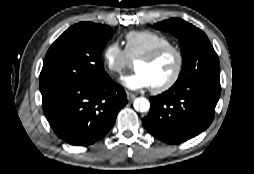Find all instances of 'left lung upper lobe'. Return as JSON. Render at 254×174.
<instances>
[{
    "instance_id": "left-lung-upper-lobe-1",
    "label": "left lung upper lobe",
    "mask_w": 254,
    "mask_h": 174,
    "mask_svg": "<svg viewBox=\"0 0 254 174\" xmlns=\"http://www.w3.org/2000/svg\"><path fill=\"white\" fill-rule=\"evenodd\" d=\"M153 27L168 31L179 39L183 64L173 86L202 80L220 81L218 56L203 31L179 18L159 22Z\"/></svg>"
}]
</instances>
